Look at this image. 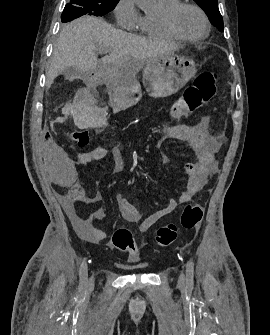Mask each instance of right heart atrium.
<instances>
[{"label": "right heart atrium", "mask_w": 270, "mask_h": 335, "mask_svg": "<svg viewBox=\"0 0 270 335\" xmlns=\"http://www.w3.org/2000/svg\"><path fill=\"white\" fill-rule=\"evenodd\" d=\"M117 24L127 30L137 27L140 13L136 8V0H119L115 7Z\"/></svg>", "instance_id": "right-heart-atrium-1"}]
</instances>
